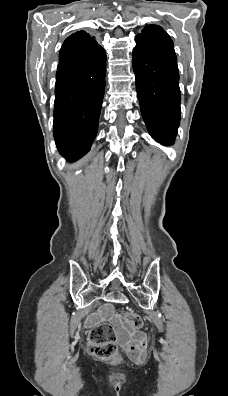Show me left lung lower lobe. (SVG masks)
I'll return each mask as SVG.
<instances>
[{"label":"left lung lower lobe","mask_w":228,"mask_h":396,"mask_svg":"<svg viewBox=\"0 0 228 396\" xmlns=\"http://www.w3.org/2000/svg\"><path fill=\"white\" fill-rule=\"evenodd\" d=\"M133 69L137 95L149 134L169 145L180 124L179 71L170 36L157 26L135 38Z\"/></svg>","instance_id":"0a47b994"}]
</instances>
